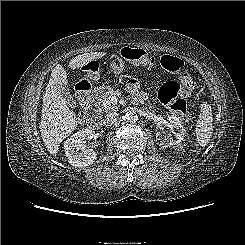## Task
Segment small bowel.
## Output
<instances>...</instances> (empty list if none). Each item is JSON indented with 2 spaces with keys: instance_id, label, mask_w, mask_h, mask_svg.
I'll use <instances>...</instances> for the list:
<instances>
[{
  "instance_id": "1",
  "label": "small bowel",
  "mask_w": 245,
  "mask_h": 245,
  "mask_svg": "<svg viewBox=\"0 0 245 245\" xmlns=\"http://www.w3.org/2000/svg\"><path fill=\"white\" fill-rule=\"evenodd\" d=\"M127 88L137 103H141L146 99V94L140 90L139 81L135 78L129 79L127 82Z\"/></svg>"
}]
</instances>
